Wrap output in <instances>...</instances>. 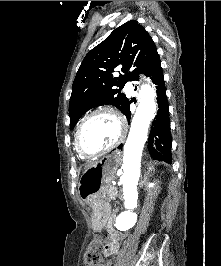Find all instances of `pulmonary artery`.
Instances as JSON below:
<instances>
[{"label": "pulmonary artery", "instance_id": "obj_1", "mask_svg": "<svg viewBox=\"0 0 221 266\" xmlns=\"http://www.w3.org/2000/svg\"><path fill=\"white\" fill-rule=\"evenodd\" d=\"M127 93L131 94L133 92V88L130 84H127L126 87H125Z\"/></svg>", "mask_w": 221, "mask_h": 266}]
</instances>
